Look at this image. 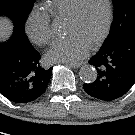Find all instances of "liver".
<instances>
[{
  "label": "liver",
  "instance_id": "1",
  "mask_svg": "<svg viewBox=\"0 0 135 135\" xmlns=\"http://www.w3.org/2000/svg\"><path fill=\"white\" fill-rule=\"evenodd\" d=\"M12 29L11 22L6 18L0 17V42L6 41L10 37Z\"/></svg>",
  "mask_w": 135,
  "mask_h": 135
}]
</instances>
